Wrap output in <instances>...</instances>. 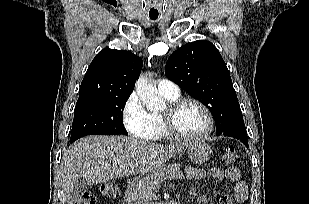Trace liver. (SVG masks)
Here are the masks:
<instances>
[{"mask_svg": "<svg viewBox=\"0 0 309 204\" xmlns=\"http://www.w3.org/2000/svg\"><path fill=\"white\" fill-rule=\"evenodd\" d=\"M190 143L158 145L125 136H87L64 153L61 182L71 201L74 183L83 179L89 185L111 179L150 172L175 157Z\"/></svg>", "mask_w": 309, "mask_h": 204, "instance_id": "6515ba94", "label": "liver"}]
</instances>
